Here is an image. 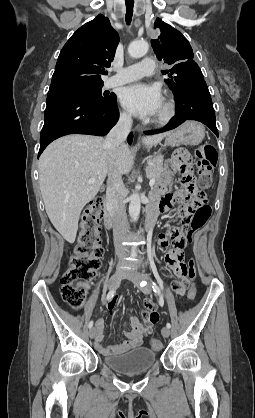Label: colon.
<instances>
[{
    "label": "colon",
    "instance_id": "colon-1",
    "mask_svg": "<svg viewBox=\"0 0 255 418\" xmlns=\"http://www.w3.org/2000/svg\"><path fill=\"white\" fill-rule=\"evenodd\" d=\"M194 156L199 185L202 188H209L212 184L213 170L218 160L216 148L212 144H202L197 147ZM103 205V199L96 197L83 208L77 242L70 256L67 269L61 278V295L64 301L74 310L83 307L86 286L96 276L101 264L103 248L99 240V222ZM185 212V222L182 227L189 228L190 234L186 235L184 241L191 244V233L204 226L211 215V207L207 204L206 195L201 191L197 192ZM186 264L190 276L187 298L193 300L196 296L194 284L196 270L192 259ZM150 346L154 350H159L162 343L159 339L152 338Z\"/></svg>",
    "mask_w": 255,
    "mask_h": 418
}]
</instances>
